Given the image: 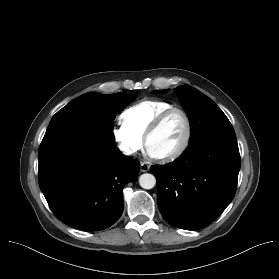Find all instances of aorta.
I'll list each match as a JSON object with an SVG mask.
<instances>
[{
    "label": "aorta",
    "instance_id": "aorta-1",
    "mask_svg": "<svg viewBox=\"0 0 279 279\" xmlns=\"http://www.w3.org/2000/svg\"><path fill=\"white\" fill-rule=\"evenodd\" d=\"M139 184L143 189H152L156 185V178L150 173L142 174L139 177Z\"/></svg>",
    "mask_w": 279,
    "mask_h": 279
}]
</instances>
